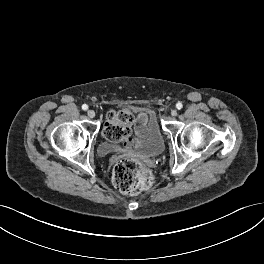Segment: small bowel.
I'll return each mask as SVG.
<instances>
[{"instance_id": "small-bowel-1", "label": "small bowel", "mask_w": 264, "mask_h": 264, "mask_svg": "<svg viewBox=\"0 0 264 264\" xmlns=\"http://www.w3.org/2000/svg\"><path fill=\"white\" fill-rule=\"evenodd\" d=\"M147 124H148V116L144 112H140L136 117L133 118L131 126H130V132L127 135L126 138L122 140L125 147H128L132 144L133 140L131 138V129L133 128L136 135L142 137L145 135L147 130ZM108 125V120L105 123V126Z\"/></svg>"}]
</instances>
